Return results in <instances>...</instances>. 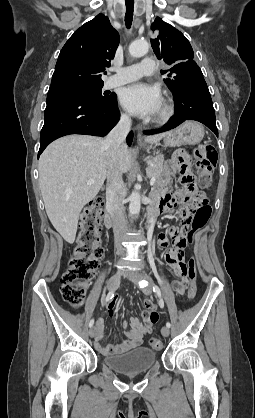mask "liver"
I'll return each mask as SVG.
<instances>
[{"label": "liver", "mask_w": 255, "mask_h": 418, "mask_svg": "<svg viewBox=\"0 0 255 418\" xmlns=\"http://www.w3.org/2000/svg\"><path fill=\"white\" fill-rule=\"evenodd\" d=\"M167 133L145 138L157 143ZM104 139L88 135H69L51 143L39 159V183L48 218L65 241H75L83 207L100 191L109 171V153ZM132 156L125 144L116 155V167L126 173ZM94 182L87 184L89 180Z\"/></svg>", "instance_id": "6515ba94"}]
</instances>
